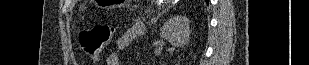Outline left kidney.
<instances>
[{
	"label": "left kidney",
	"mask_w": 309,
	"mask_h": 65,
	"mask_svg": "<svg viewBox=\"0 0 309 65\" xmlns=\"http://www.w3.org/2000/svg\"><path fill=\"white\" fill-rule=\"evenodd\" d=\"M190 34V21L186 16L181 15L168 19L160 29V36L175 47L187 45Z\"/></svg>",
	"instance_id": "1"
}]
</instances>
